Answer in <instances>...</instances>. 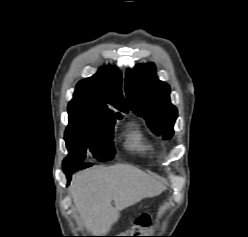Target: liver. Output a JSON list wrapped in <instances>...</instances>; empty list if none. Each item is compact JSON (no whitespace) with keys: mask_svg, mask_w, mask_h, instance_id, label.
<instances>
[{"mask_svg":"<svg viewBox=\"0 0 248 237\" xmlns=\"http://www.w3.org/2000/svg\"><path fill=\"white\" fill-rule=\"evenodd\" d=\"M164 189L139 168L122 163L81 171L73 176L70 186L79 221L92 234H107L120 211Z\"/></svg>","mask_w":248,"mask_h":237,"instance_id":"1","label":"liver"}]
</instances>
